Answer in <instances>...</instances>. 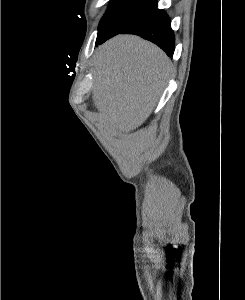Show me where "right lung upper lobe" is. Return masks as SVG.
Returning <instances> with one entry per match:
<instances>
[{
	"label": "right lung upper lobe",
	"instance_id": "obj_1",
	"mask_svg": "<svg viewBox=\"0 0 245 300\" xmlns=\"http://www.w3.org/2000/svg\"><path fill=\"white\" fill-rule=\"evenodd\" d=\"M138 1H143V2H155L156 0H138Z\"/></svg>",
	"mask_w": 245,
	"mask_h": 300
}]
</instances>
